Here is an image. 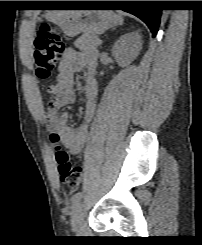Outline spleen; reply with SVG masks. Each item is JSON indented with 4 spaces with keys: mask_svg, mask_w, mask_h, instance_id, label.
Instances as JSON below:
<instances>
[{
    "mask_svg": "<svg viewBox=\"0 0 202 245\" xmlns=\"http://www.w3.org/2000/svg\"><path fill=\"white\" fill-rule=\"evenodd\" d=\"M118 19H119V23L122 24L123 23V18L121 15H118Z\"/></svg>",
    "mask_w": 202,
    "mask_h": 245,
    "instance_id": "spleen-1",
    "label": "spleen"
}]
</instances>
